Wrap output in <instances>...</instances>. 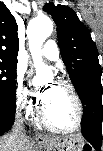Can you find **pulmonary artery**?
I'll return each instance as SVG.
<instances>
[{
    "label": "pulmonary artery",
    "instance_id": "obj_1",
    "mask_svg": "<svg viewBox=\"0 0 103 151\" xmlns=\"http://www.w3.org/2000/svg\"><path fill=\"white\" fill-rule=\"evenodd\" d=\"M41 54L49 60L58 61L60 54L57 43L54 40H48L44 44Z\"/></svg>",
    "mask_w": 103,
    "mask_h": 151
}]
</instances>
